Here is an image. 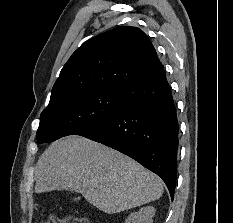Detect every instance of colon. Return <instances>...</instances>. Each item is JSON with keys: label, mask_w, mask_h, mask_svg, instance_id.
<instances>
[{"label": "colon", "mask_w": 233, "mask_h": 223, "mask_svg": "<svg viewBox=\"0 0 233 223\" xmlns=\"http://www.w3.org/2000/svg\"><path fill=\"white\" fill-rule=\"evenodd\" d=\"M47 223H89V220L84 218L62 219L56 215H50Z\"/></svg>", "instance_id": "5ec220e1"}]
</instances>
